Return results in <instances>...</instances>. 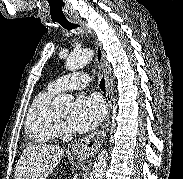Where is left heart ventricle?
<instances>
[{"label": "left heart ventricle", "mask_w": 183, "mask_h": 179, "mask_svg": "<svg viewBox=\"0 0 183 179\" xmlns=\"http://www.w3.org/2000/svg\"><path fill=\"white\" fill-rule=\"evenodd\" d=\"M68 115H69V113H68V112H66V113H62V114H61V117L66 118V117H68Z\"/></svg>", "instance_id": "1"}]
</instances>
